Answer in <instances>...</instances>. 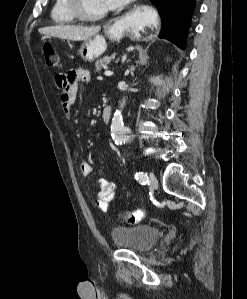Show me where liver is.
<instances>
[{"instance_id": "1", "label": "liver", "mask_w": 247, "mask_h": 299, "mask_svg": "<svg viewBox=\"0 0 247 299\" xmlns=\"http://www.w3.org/2000/svg\"><path fill=\"white\" fill-rule=\"evenodd\" d=\"M100 31V26H75L56 25L38 29L40 34L67 39L71 41H85L95 36Z\"/></svg>"}]
</instances>
